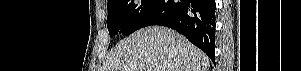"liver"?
I'll use <instances>...</instances> for the list:
<instances>
[{
  "instance_id": "obj_1",
  "label": "liver",
  "mask_w": 301,
  "mask_h": 71,
  "mask_svg": "<svg viewBox=\"0 0 301 71\" xmlns=\"http://www.w3.org/2000/svg\"><path fill=\"white\" fill-rule=\"evenodd\" d=\"M210 60L178 32L142 28L120 41L101 71H208Z\"/></svg>"
}]
</instances>
